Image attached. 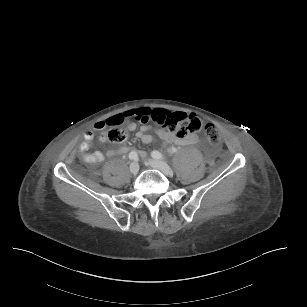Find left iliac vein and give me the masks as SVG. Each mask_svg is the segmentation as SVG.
<instances>
[{
	"label": "left iliac vein",
	"instance_id": "obj_1",
	"mask_svg": "<svg viewBox=\"0 0 307 307\" xmlns=\"http://www.w3.org/2000/svg\"><path fill=\"white\" fill-rule=\"evenodd\" d=\"M148 163L152 168L160 170L161 172H163L166 175H172L173 174L172 169L164 161H159V160L153 159V160H149Z\"/></svg>",
	"mask_w": 307,
	"mask_h": 307
}]
</instances>
